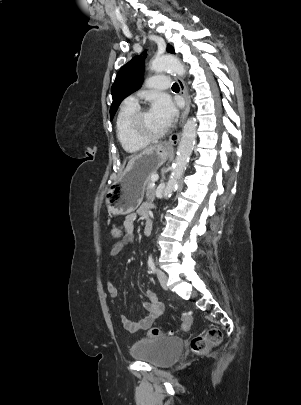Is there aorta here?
Returning <instances> with one entry per match:
<instances>
[{
	"instance_id": "obj_1",
	"label": "aorta",
	"mask_w": 301,
	"mask_h": 405,
	"mask_svg": "<svg viewBox=\"0 0 301 405\" xmlns=\"http://www.w3.org/2000/svg\"><path fill=\"white\" fill-rule=\"evenodd\" d=\"M151 69L154 72H172L183 76L185 68L182 62L175 56L165 55L155 58L151 63ZM197 123L194 118H189L183 128L181 139L177 149V157L173 166L170 178L164 189L163 198L171 197L173 191L178 185V181L183 175L186 165L189 162L196 139Z\"/></svg>"
}]
</instances>
